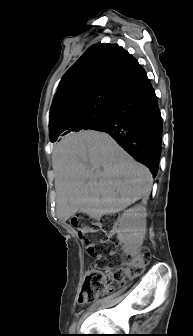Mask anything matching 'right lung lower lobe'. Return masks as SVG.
<instances>
[{"mask_svg":"<svg viewBox=\"0 0 193 336\" xmlns=\"http://www.w3.org/2000/svg\"><path fill=\"white\" fill-rule=\"evenodd\" d=\"M108 133L132 157L158 171L162 118L155 91L142 67L112 103L105 125Z\"/></svg>","mask_w":193,"mask_h":336,"instance_id":"1","label":"right lung lower lobe"}]
</instances>
